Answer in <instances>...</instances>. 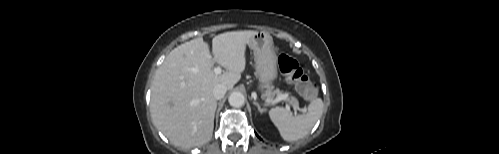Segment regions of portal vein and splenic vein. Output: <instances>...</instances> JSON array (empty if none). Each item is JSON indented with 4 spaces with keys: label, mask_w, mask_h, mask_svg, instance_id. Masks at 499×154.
Returning a JSON list of instances; mask_svg holds the SVG:
<instances>
[{
    "label": "portal vein and splenic vein",
    "mask_w": 499,
    "mask_h": 154,
    "mask_svg": "<svg viewBox=\"0 0 499 154\" xmlns=\"http://www.w3.org/2000/svg\"><path fill=\"white\" fill-rule=\"evenodd\" d=\"M213 71H214L215 74H221V72H222V70H221L220 67L214 68ZM282 100H283L282 97H278V98H276L274 100H269L268 99V100H266V103H268V104H277V103H279Z\"/></svg>",
    "instance_id": "18ae733b"
}]
</instances>
